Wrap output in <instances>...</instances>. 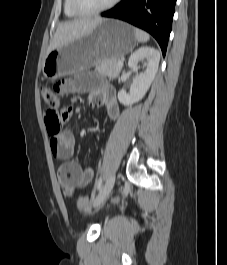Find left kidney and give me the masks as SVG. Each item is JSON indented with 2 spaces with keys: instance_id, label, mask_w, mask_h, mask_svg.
Returning <instances> with one entry per match:
<instances>
[{
  "instance_id": "left-kidney-1",
  "label": "left kidney",
  "mask_w": 227,
  "mask_h": 265,
  "mask_svg": "<svg viewBox=\"0 0 227 265\" xmlns=\"http://www.w3.org/2000/svg\"><path fill=\"white\" fill-rule=\"evenodd\" d=\"M142 60L147 61V67L144 72L136 75L129 93L123 89L118 92V100L124 106L132 105L144 97L157 73L160 54L153 47H141L130 56L128 66L137 69Z\"/></svg>"
}]
</instances>
